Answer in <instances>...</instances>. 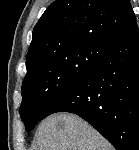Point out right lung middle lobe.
Here are the masks:
<instances>
[{
	"label": "right lung middle lobe",
	"mask_w": 139,
	"mask_h": 150,
	"mask_svg": "<svg viewBox=\"0 0 139 150\" xmlns=\"http://www.w3.org/2000/svg\"><path fill=\"white\" fill-rule=\"evenodd\" d=\"M108 48L90 46L55 54L27 73L22 84L20 116L26 130H32L48 107L79 82Z\"/></svg>",
	"instance_id": "right-lung-middle-lobe-1"
}]
</instances>
